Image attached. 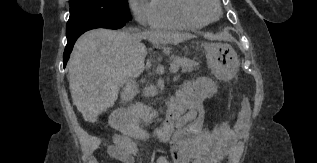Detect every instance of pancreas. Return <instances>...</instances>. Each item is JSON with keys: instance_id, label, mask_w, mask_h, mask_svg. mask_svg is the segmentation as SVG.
I'll return each instance as SVG.
<instances>
[{"instance_id": "obj_1", "label": "pancreas", "mask_w": 317, "mask_h": 163, "mask_svg": "<svg viewBox=\"0 0 317 163\" xmlns=\"http://www.w3.org/2000/svg\"><path fill=\"white\" fill-rule=\"evenodd\" d=\"M171 66L176 68L181 67L183 72H192L196 69H199V63L195 60L181 58L178 56L174 58ZM154 115L155 114L151 108L143 105L142 103H136L126 112V119L130 123L141 125L143 123L151 122Z\"/></svg>"}]
</instances>
